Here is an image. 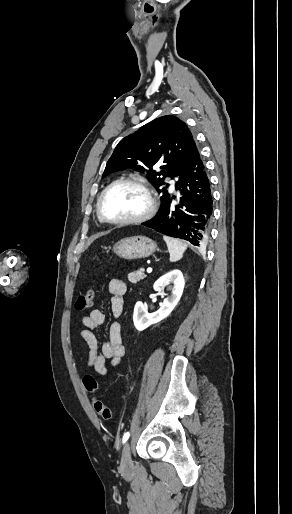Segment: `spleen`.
Segmentation results:
<instances>
[{
  "label": "spleen",
  "mask_w": 292,
  "mask_h": 514,
  "mask_svg": "<svg viewBox=\"0 0 292 514\" xmlns=\"http://www.w3.org/2000/svg\"><path fill=\"white\" fill-rule=\"evenodd\" d=\"M163 238L170 254V262H178V260H181L185 250H187V244H183L180 240H174V238H168V236H163Z\"/></svg>",
  "instance_id": "obj_1"
}]
</instances>
